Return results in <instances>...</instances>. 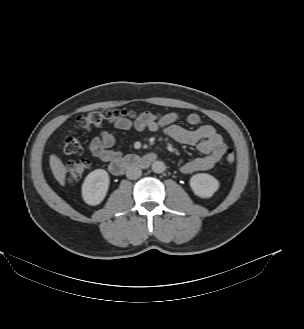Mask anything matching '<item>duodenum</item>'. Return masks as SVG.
Returning <instances> with one entry per match:
<instances>
[{"instance_id": "1", "label": "duodenum", "mask_w": 304, "mask_h": 329, "mask_svg": "<svg viewBox=\"0 0 304 329\" xmlns=\"http://www.w3.org/2000/svg\"><path fill=\"white\" fill-rule=\"evenodd\" d=\"M155 159L156 155L154 153H148L143 156L129 154L123 158L111 161L109 170L113 175L119 176L123 174L127 169L133 167H146L152 164Z\"/></svg>"}]
</instances>
